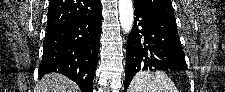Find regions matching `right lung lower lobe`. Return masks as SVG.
<instances>
[{
  "label": "right lung lower lobe",
  "mask_w": 225,
  "mask_h": 92,
  "mask_svg": "<svg viewBox=\"0 0 225 92\" xmlns=\"http://www.w3.org/2000/svg\"><path fill=\"white\" fill-rule=\"evenodd\" d=\"M101 25L102 15L99 13L47 31L39 77L46 73H60L75 81L82 92H92Z\"/></svg>",
  "instance_id": "1"
}]
</instances>
